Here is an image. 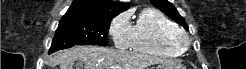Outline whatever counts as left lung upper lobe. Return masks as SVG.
Listing matches in <instances>:
<instances>
[{
  "mask_svg": "<svg viewBox=\"0 0 246 69\" xmlns=\"http://www.w3.org/2000/svg\"><path fill=\"white\" fill-rule=\"evenodd\" d=\"M150 2L160 11L165 13L167 16L188 30V25L186 24L184 18L180 16L172 3L168 2L167 0H150Z\"/></svg>",
  "mask_w": 246,
  "mask_h": 69,
  "instance_id": "5c2ea615",
  "label": "left lung upper lobe"
}]
</instances>
